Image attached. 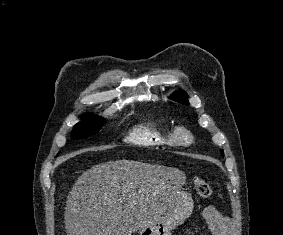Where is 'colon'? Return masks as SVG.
Returning <instances> with one entry per match:
<instances>
[{"label":"colon","mask_w":283,"mask_h":235,"mask_svg":"<svg viewBox=\"0 0 283 235\" xmlns=\"http://www.w3.org/2000/svg\"><path fill=\"white\" fill-rule=\"evenodd\" d=\"M194 187L201 198H209L212 195L211 185L202 177L194 178Z\"/></svg>","instance_id":"5ec220e1"}]
</instances>
